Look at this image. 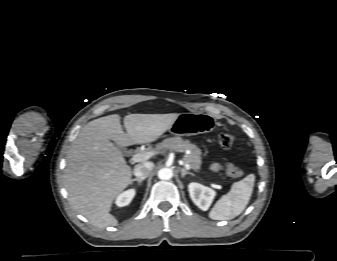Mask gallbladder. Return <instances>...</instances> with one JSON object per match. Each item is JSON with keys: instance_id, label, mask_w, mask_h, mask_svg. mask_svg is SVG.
Listing matches in <instances>:
<instances>
[{"instance_id": "obj_1", "label": "gallbladder", "mask_w": 337, "mask_h": 261, "mask_svg": "<svg viewBox=\"0 0 337 261\" xmlns=\"http://www.w3.org/2000/svg\"><path fill=\"white\" fill-rule=\"evenodd\" d=\"M122 152L125 154L126 153V149L125 148H121Z\"/></svg>"}]
</instances>
